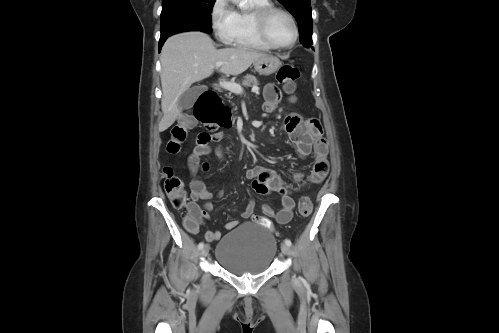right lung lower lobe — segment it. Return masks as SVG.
Masks as SVG:
<instances>
[{
	"label": "right lung lower lobe",
	"instance_id": "1",
	"mask_svg": "<svg viewBox=\"0 0 499 333\" xmlns=\"http://www.w3.org/2000/svg\"><path fill=\"white\" fill-rule=\"evenodd\" d=\"M168 37H165V38H160V41H159V52L161 51V48L164 44V42L166 41Z\"/></svg>",
	"mask_w": 499,
	"mask_h": 333
}]
</instances>
